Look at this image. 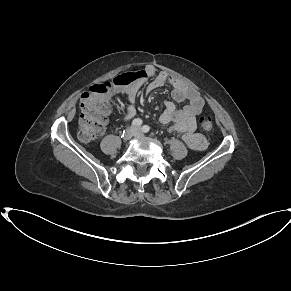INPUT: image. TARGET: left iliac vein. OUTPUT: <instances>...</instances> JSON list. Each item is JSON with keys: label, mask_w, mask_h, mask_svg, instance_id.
Returning a JSON list of instances; mask_svg holds the SVG:
<instances>
[{"label": "left iliac vein", "mask_w": 291, "mask_h": 291, "mask_svg": "<svg viewBox=\"0 0 291 291\" xmlns=\"http://www.w3.org/2000/svg\"><path fill=\"white\" fill-rule=\"evenodd\" d=\"M141 135V129L140 128H136V135L135 136H140Z\"/></svg>", "instance_id": "1"}]
</instances>
